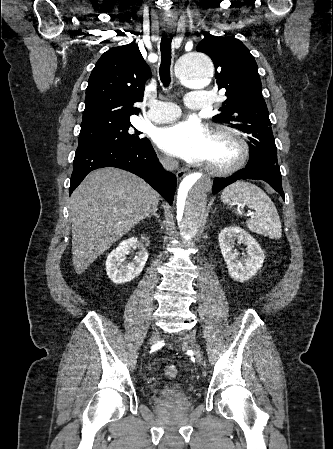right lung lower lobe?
<instances>
[{
	"label": "right lung lower lobe",
	"instance_id": "right-lung-lower-lobe-1",
	"mask_svg": "<svg viewBox=\"0 0 333 449\" xmlns=\"http://www.w3.org/2000/svg\"><path fill=\"white\" fill-rule=\"evenodd\" d=\"M117 167L143 178L172 204L176 176L161 166L149 140L140 148L123 146L78 147L75 153L70 194L92 170Z\"/></svg>",
	"mask_w": 333,
	"mask_h": 449
}]
</instances>
